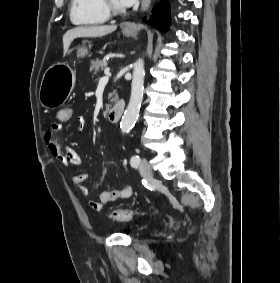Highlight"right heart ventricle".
I'll return each instance as SVG.
<instances>
[{
  "instance_id": "e07e8e85",
  "label": "right heart ventricle",
  "mask_w": 280,
  "mask_h": 283,
  "mask_svg": "<svg viewBox=\"0 0 280 283\" xmlns=\"http://www.w3.org/2000/svg\"><path fill=\"white\" fill-rule=\"evenodd\" d=\"M100 0H71L70 19L76 25H96L108 20Z\"/></svg>"
}]
</instances>
